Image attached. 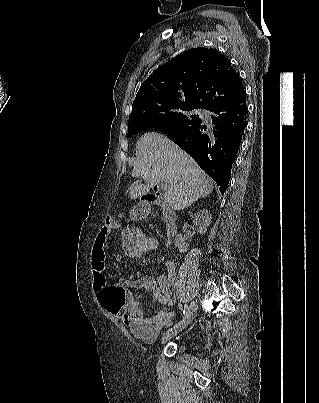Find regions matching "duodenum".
<instances>
[{"instance_id":"duodenum-1","label":"duodenum","mask_w":319,"mask_h":403,"mask_svg":"<svg viewBox=\"0 0 319 403\" xmlns=\"http://www.w3.org/2000/svg\"><path fill=\"white\" fill-rule=\"evenodd\" d=\"M151 205H159L163 208L162 217L165 225V232L168 238L177 231L176 212L165 202L162 193L156 192L142 197V202L136 208V214L144 217L148 214Z\"/></svg>"}]
</instances>
